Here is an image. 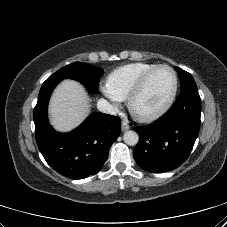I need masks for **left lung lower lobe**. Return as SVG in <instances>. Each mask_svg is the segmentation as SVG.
I'll return each mask as SVG.
<instances>
[{
  "instance_id": "0a47b994",
  "label": "left lung lower lobe",
  "mask_w": 227,
  "mask_h": 227,
  "mask_svg": "<svg viewBox=\"0 0 227 227\" xmlns=\"http://www.w3.org/2000/svg\"><path fill=\"white\" fill-rule=\"evenodd\" d=\"M201 99L197 86L180 91L173 106L148 126L134 127L139 135L133 156L152 173L171 171L188 158L200 128Z\"/></svg>"
}]
</instances>
